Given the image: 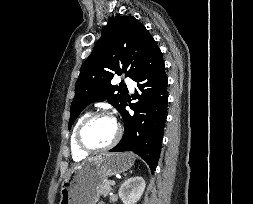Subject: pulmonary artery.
Wrapping results in <instances>:
<instances>
[{"instance_id": "e3ab8cb5", "label": "pulmonary artery", "mask_w": 253, "mask_h": 204, "mask_svg": "<svg viewBox=\"0 0 253 204\" xmlns=\"http://www.w3.org/2000/svg\"><path fill=\"white\" fill-rule=\"evenodd\" d=\"M124 82H125L126 85L128 86L129 90L132 92L133 89H134V83H133V81H132L130 78L125 77V78H124Z\"/></svg>"}]
</instances>
